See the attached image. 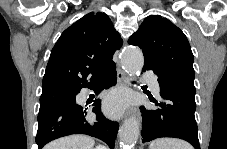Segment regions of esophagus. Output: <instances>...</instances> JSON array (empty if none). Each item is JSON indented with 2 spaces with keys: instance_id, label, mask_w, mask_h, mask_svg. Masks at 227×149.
<instances>
[{
  "instance_id": "obj_1",
  "label": "esophagus",
  "mask_w": 227,
  "mask_h": 149,
  "mask_svg": "<svg viewBox=\"0 0 227 149\" xmlns=\"http://www.w3.org/2000/svg\"><path fill=\"white\" fill-rule=\"evenodd\" d=\"M126 74L125 72L118 68L117 70V81L119 85L125 84L126 83ZM135 112L137 114V117L139 120H141L140 113L138 111H125L124 114H122V119H134L135 118Z\"/></svg>"
}]
</instances>
